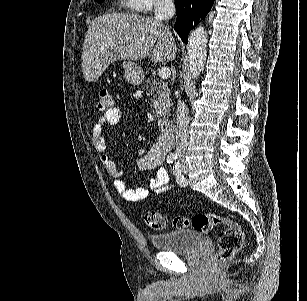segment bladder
Returning a JSON list of instances; mask_svg holds the SVG:
<instances>
[{
    "label": "bladder",
    "instance_id": "31cf9c89",
    "mask_svg": "<svg viewBox=\"0 0 307 301\" xmlns=\"http://www.w3.org/2000/svg\"><path fill=\"white\" fill-rule=\"evenodd\" d=\"M203 238L199 232H192L187 229H176L173 232L163 235H153L152 243L155 250L169 251L171 253L190 252L200 246Z\"/></svg>",
    "mask_w": 307,
    "mask_h": 301
}]
</instances>
